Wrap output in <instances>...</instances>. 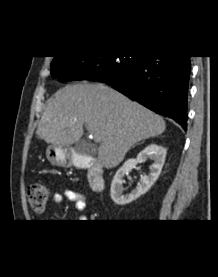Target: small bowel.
<instances>
[{"mask_svg":"<svg viewBox=\"0 0 218 277\" xmlns=\"http://www.w3.org/2000/svg\"><path fill=\"white\" fill-rule=\"evenodd\" d=\"M64 200L74 202L75 209L80 213L83 212L87 207L86 195L72 189H66L62 192L55 193L52 196V203L55 205L61 204ZM80 220H85V217L81 216Z\"/></svg>","mask_w":218,"mask_h":277,"instance_id":"small-bowel-1","label":"small bowel"}]
</instances>
